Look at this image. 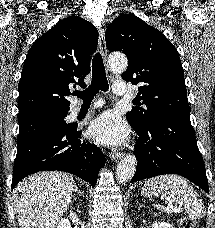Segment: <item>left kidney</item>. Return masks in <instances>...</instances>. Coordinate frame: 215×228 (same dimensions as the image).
Returning <instances> with one entry per match:
<instances>
[{
    "label": "left kidney",
    "mask_w": 215,
    "mask_h": 228,
    "mask_svg": "<svg viewBox=\"0 0 215 228\" xmlns=\"http://www.w3.org/2000/svg\"><path fill=\"white\" fill-rule=\"evenodd\" d=\"M157 228H173V226H171V224H167V222H159V224H157Z\"/></svg>",
    "instance_id": "5707ae66"
}]
</instances>
